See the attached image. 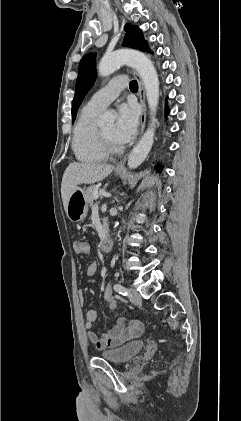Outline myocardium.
Segmentation results:
<instances>
[{"label": "myocardium", "instance_id": "myocardium-1", "mask_svg": "<svg viewBox=\"0 0 241 421\" xmlns=\"http://www.w3.org/2000/svg\"><path fill=\"white\" fill-rule=\"evenodd\" d=\"M99 138L104 150L108 153V155L118 154L122 151V146L113 143L101 130H99Z\"/></svg>", "mask_w": 241, "mask_h": 421}]
</instances>
